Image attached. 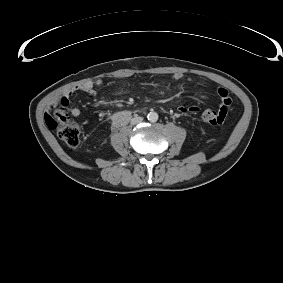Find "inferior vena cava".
Here are the masks:
<instances>
[{"instance_id":"inferior-vena-cava-1","label":"inferior vena cava","mask_w":283,"mask_h":283,"mask_svg":"<svg viewBox=\"0 0 283 283\" xmlns=\"http://www.w3.org/2000/svg\"><path fill=\"white\" fill-rule=\"evenodd\" d=\"M143 121L142 117H134L131 119V124H138Z\"/></svg>"}]
</instances>
